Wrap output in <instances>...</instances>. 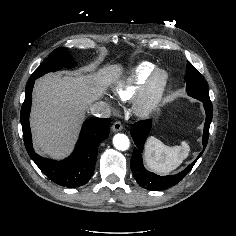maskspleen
<instances>
[{
	"label": "spleen",
	"instance_id": "obj_1",
	"mask_svg": "<svg viewBox=\"0 0 236 236\" xmlns=\"http://www.w3.org/2000/svg\"><path fill=\"white\" fill-rule=\"evenodd\" d=\"M189 151L186 141L179 146L170 147L151 136L145 145V160L151 169L159 173H169L188 157Z\"/></svg>",
	"mask_w": 236,
	"mask_h": 236
}]
</instances>
